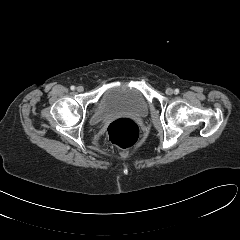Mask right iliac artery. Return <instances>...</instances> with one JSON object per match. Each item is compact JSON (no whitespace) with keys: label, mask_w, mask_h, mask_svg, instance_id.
<instances>
[{"label":"right iliac artery","mask_w":240,"mask_h":240,"mask_svg":"<svg viewBox=\"0 0 240 240\" xmlns=\"http://www.w3.org/2000/svg\"><path fill=\"white\" fill-rule=\"evenodd\" d=\"M70 89H71V90H75V86H71Z\"/></svg>","instance_id":"obj_1"}]
</instances>
